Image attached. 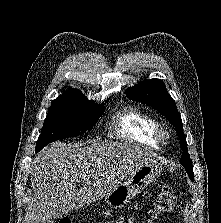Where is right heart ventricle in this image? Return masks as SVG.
<instances>
[{
  "instance_id": "e07e8e85",
  "label": "right heart ventricle",
  "mask_w": 221,
  "mask_h": 223,
  "mask_svg": "<svg viewBox=\"0 0 221 223\" xmlns=\"http://www.w3.org/2000/svg\"><path fill=\"white\" fill-rule=\"evenodd\" d=\"M159 122L147 111L129 106L117 111L111 120L112 135L118 139L159 148L154 137Z\"/></svg>"
}]
</instances>
